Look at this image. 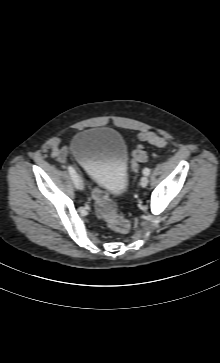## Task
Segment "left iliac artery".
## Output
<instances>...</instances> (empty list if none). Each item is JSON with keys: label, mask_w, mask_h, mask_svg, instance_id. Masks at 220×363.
I'll return each mask as SVG.
<instances>
[{"label": "left iliac artery", "mask_w": 220, "mask_h": 363, "mask_svg": "<svg viewBox=\"0 0 220 363\" xmlns=\"http://www.w3.org/2000/svg\"><path fill=\"white\" fill-rule=\"evenodd\" d=\"M143 174L148 176L150 174V169L149 168H144L143 169Z\"/></svg>", "instance_id": "44dca946"}]
</instances>
